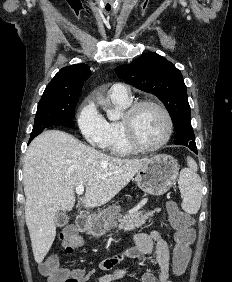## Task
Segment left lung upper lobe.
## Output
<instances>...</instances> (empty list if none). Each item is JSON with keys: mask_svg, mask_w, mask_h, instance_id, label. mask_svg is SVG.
<instances>
[{"mask_svg": "<svg viewBox=\"0 0 232 282\" xmlns=\"http://www.w3.org/2000/svg\"><path fill=\"white\" fill-rule=\"evenodd\" d=\"M116 74L134 87L157 96L172 118L177 141L186 146L196 145L183 76L171 62L151 52L128 65L118 66Z\"/></svg>", "mask_w": 232, "mask_h": 282, "instance_id": "5c2ea615", "label": "left lung upper lobe"}]
</instances>
